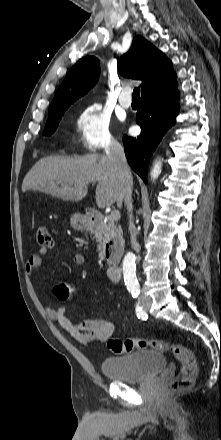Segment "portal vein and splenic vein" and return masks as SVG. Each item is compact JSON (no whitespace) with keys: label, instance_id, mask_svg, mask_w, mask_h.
Here are the masks:
<instances>
[{"label":"portal vein and splenic vein","instance_id":"obj_1","mask_svg":"<svg viewBox=\"0 0 221 440\" xmlns=\"http://www.w3.org/2000/svg\"><path fill=\"white\" fill-rule=\"evenodd\" d=\"M109 219L113 222L118 221L120 219V212L118 210H112Z\"/></svg>","mask_w":221,"mask_h":440}]
</instances>
